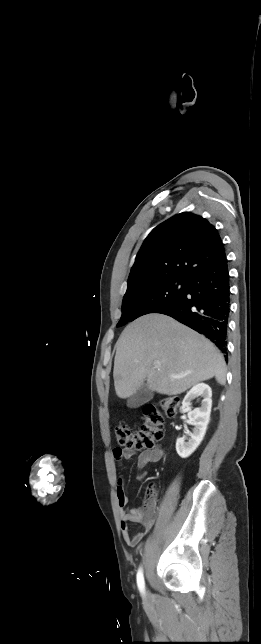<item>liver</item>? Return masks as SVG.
Here are the masks:
<instances>
[{
	"instance_id": "6515ba94",
	"label": "liver",
	"mask_w": 261,
	"mask_h": 644,
	"mask_svg": "<svg viewBox=\"0 0 261 644\" xmlns=\"http://www.w3.org/2000/svg\"><path fill=\"white\" fill-rule=\"evenodd\" d=\"M157 361L160 368L154 366ZM226 373L222 354L208 339L163 314L139 317L116 343L113 377L122 399L136 393L145 380L150 390L172 396L213 377L224 385Z\"/></svg>"
}]
</instances>
